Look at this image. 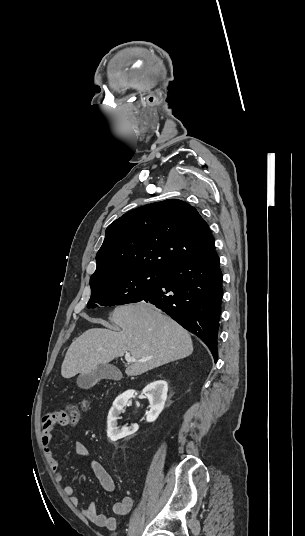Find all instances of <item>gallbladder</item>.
Masks as SVG:
<instances>
[{
  "label": "gallbladder",
  "mask_w": 305,
  "mask_h": 536,
  "mask_svg": "<svg viewBox=\"0 0 305 536\" xmlns=\"http://www.w3.org/2000/svg\"><path fill=\"white\" fill-rule=\"evenodd\" d=\"M121 378L122 374L115 366H111V364H99L97 370H94L91 374H80L76 384L78 388L89 390V388L95 386L100 380H121Z\"/></svg>",
  "instance_id": "gallbladder-1"
}]
</instances>
